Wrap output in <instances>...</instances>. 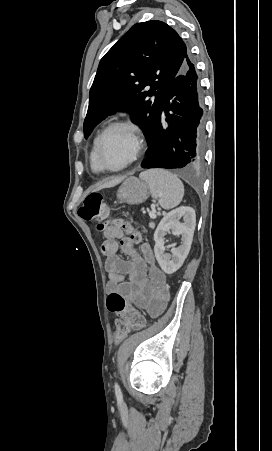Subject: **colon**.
I'll use <instances>...</instances> for the list:
<instances>
[{"label": "colon", "mask_w": 272, "mask_h": 451, "mask_svg": "<svg viewBox=\"0 0 272 451\" xmlns=\"http://www.w3.org/2000/svg\"><path fill=\"white\" fill-rule=\"evenodd\" d=\"M78 215L88 224H97V230L102 232L107 228L103 222L106 216L105 196L101 192H92L87 195L78 209ZM123 220L114 221V224H124ZM141 237L136 233V240ZM107 313L117 314V333L120 336L128 334L131 330L141 329L146 320L137 309L129 306L125 298L119 294H113L112 298H107ZM114 346L119 344L117 339L112 341Z\"/></svg>", "instance_id": "5ec220e1"}]
</instances>
